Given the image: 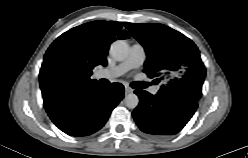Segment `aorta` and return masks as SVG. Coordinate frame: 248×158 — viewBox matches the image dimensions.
<instances>
[{"label":"aorta","instance_id":"1","mask_svg":"<svg viewBox=\"0 0 248 158\" xmlns=\"http://www.w3.org/2000/svg\"><path fill=\"white\" fill-rule=\"evenodd\" d=\"M110 55L117 61L125 60L129 55V46L124 40H116L111 44ZM125 105L134 109L139 104V98L136 94L130 93L124 98Z\"/></svg>","mask_w":248,"mask_h":158}]
</instances>
